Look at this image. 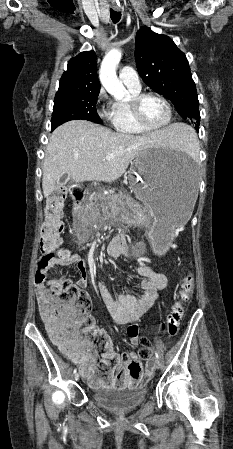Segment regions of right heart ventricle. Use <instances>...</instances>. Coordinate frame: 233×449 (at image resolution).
Here are the masks:
<instances>
[{
    "mask_svg": "<svg viewBox=\"0 0 233 449\" xmlns=\"http://www.w3.org/2000/svg\"><path fill=\"white\" fill-rule=\"evenodd\" d=\"M128 97L123 100H115L110 105L109 109V121L111 126L119 133L125 135H145L149 130L141 127L134 120L130 106V97L140 93V88H133L127 86Z\"/></svg>",
    "mask_w": 233,
    "mask_h": 449,
    "instance_id": "right-heart-ventricle-1",
    "label": "right heart ventricle"
}]
</instances>
